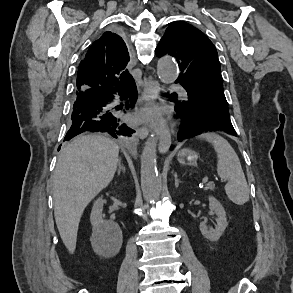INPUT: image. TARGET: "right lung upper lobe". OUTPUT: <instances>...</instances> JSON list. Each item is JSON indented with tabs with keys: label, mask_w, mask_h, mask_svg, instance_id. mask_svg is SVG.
<instances>
[{
	"label": "right lung upper lobe",
	"mask_w": 293,
	"mask_h": 293,
	"mask_svg": "<svg viewBox=\"0 0 293 293\" xmlns=\"http://www.w3.org/2000/svg\"><path fill=\"white\" fill-rule=\"evenodd\" d=\"M129 53L124 40L107 31L96 40L81 61L77 74V91L98 87L120 88L133 81L125 69Z\"/></svg>",
	"instance_id": "obj_1"
}]
</instances>
